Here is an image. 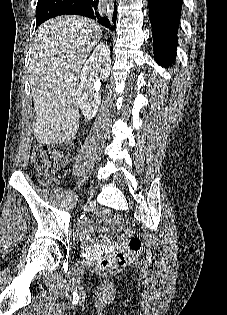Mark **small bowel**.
Returning <instances> with one entry per match:
<instances>
[{"instance_id":"c3829d8e","label":"small bowel","mask_w":227,"mask_h":315,"mask_svg":"<svg viewBox=\"0 0 227 315\" xmlns=\"http://www.w3.org/2000/svg\"><path fill=\"white\" fill-rule=\"evenodd\" d=\"M97 231H98V233L100 234V235H104L105 234V227L103 226V225H100V226H98V228H97ZM90 236H91V233L89 232V231H86L85 233H84V237L85 238H90Z\"/></svg>"}]
</instances>
